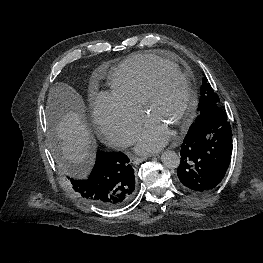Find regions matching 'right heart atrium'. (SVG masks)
<instances>
[{"label":"right heart atrium","instance_id":"d8ad5b80","mask_svg":"<svg viewBox=\"0 0 263 263\" xmlns=\"http://www.w3.org/2000/svg\"><path fill=\"white\" fill-rule=\"evenodd\" d=\"M93 116L101 134L118 146L129 145L142 122L139 108L130 106L109 93H102L95 99Z\"/></svg>","mask_w":263,"mask_h":263}]
</instances>
